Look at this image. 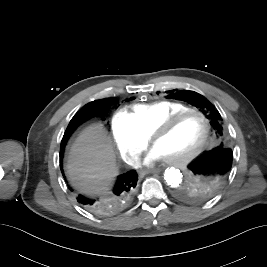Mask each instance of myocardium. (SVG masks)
Wrapping results in <instances>:
<instances>
[{
    "instance_id": "f54148a6",
    "label": "myocardium",
    "mask_w": 267,
    "mask_h": 267,
    "mask_svg": "<svg viewBox=\"0 0 267 267\" xmlns=\"http://www.w3.org/2000/svg\"><path fill=\"white\" fill-rule=\"evenodd\" d=\"M188 115H197L199 116L204 123V135L200 143L189 153L180 156L167 159V162L176 165H184L190 162L192 159L200 155L208 145L209 135H210V121L208 117L200 110L197 109H186L177 113L172 114L166 118L161 124H159L150 134L149 141L152 145L154 142L166 134L176 123Z\"/></svg>"
}]
</instances>
